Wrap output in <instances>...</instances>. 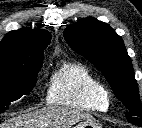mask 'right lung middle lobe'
<instances>
[{"instance_id":"obj_1","label":"right lung middle lobe","mask_w":142,"mask_h":128,"mask_svg":"<svg viewBox=\"0 0 142 128\" xmlns=\"http://www.w3.org/2000/svg\"><path fill=\"white\" fill-rule=\"evenodd\" d=\"M41 66L42 60H37L20 70L15 76L0 77V113L4 112L11 102L33 89Z\"/></svg>"}]
</instances>
